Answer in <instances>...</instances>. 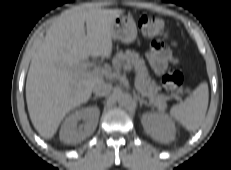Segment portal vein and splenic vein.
Here are the masks:
<instances>
[{"label":"portal vein and splenic vein","instance_id":"obj_1","mask_svg":"<svg viewBox=\"0 0 231 170\" xmlns=\"http://www.w3.org/2000/svg\"><path fill=\"white\" fill-rule=\"evenodd\" d=\"M91 66H92V63H91V62L84 63V64L82 65V70H83L84 72H86ZM124 69L130 71V70H132V67H131L130 65H126V66L124 67ZM92 73H94V74H96V75H100V76L106 75V74H107V72H106L104 69H101V68H99V67H95L94 70H92ZM135 87H136V89H138L139 92H141V94H142L143 96H148L147 93H145L144 91H142V89L140 88V85H139V83H138V81H137L136 78H135Z\"/></svg>","mask_w":231,"mask_h":170}]
</instances>
